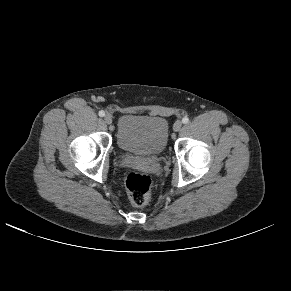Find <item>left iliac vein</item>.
<instances>
[{"label": "left iliac vein", "mask_w": 291, "mask_h": 291, "mask_svg": "<svg viewBox=\"0 0 291 291\" xmlns=\"http://www.w3.org/2000/svg\"><path fill=\"white\" fill-rule=\"evenodd\" d=\"M181 128H182V122L181 121H176L174 123V126H173L174 131L178 132V131H180Z\"/></svg>", "instance_id": "1"}]
</instances>
